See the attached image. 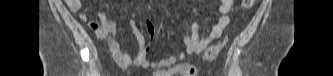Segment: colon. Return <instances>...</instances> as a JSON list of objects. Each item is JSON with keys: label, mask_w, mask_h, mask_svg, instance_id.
Wrapping results in <instances>:
<instances>
[{"label": "colon", "mask_w": 333, "mask_h": 76, "mask_svg": "<svg viewBox=\"0 0 333 76\" xmlns=\"http://www.w3.org/2000/svg\"><path fill=\"white\" fill-rule=\"evenodd\" d=\"M254 2H255L254 0H243L242 6L246 9H249L254 5ZM225 43L226 41L224 40L207 48V50L204 53V58L206 60H212L216 58L221 49L224 47Z\"/></svg>", "instance_id": "5ec220e1"}]
</instances>
